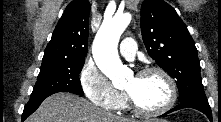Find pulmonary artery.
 I'll return each instance as SVG.
<instances>
[{"instance_id": "pulmonary-artery-1", "label": "pulmonary artery", "mask_w": 221, "mask_h": 122, "mask_svg": "<svg viewBox=\"0 0 221 122\" xmlns=\"http://www.w3.org/2000/svg\"><path fill=\"white\" fill-rule=\"evenodd\" d=\"M136 43L133 38H125L121 41L119 51L127 59H133L136 54Z\"/></svg>"}]
</instances>
